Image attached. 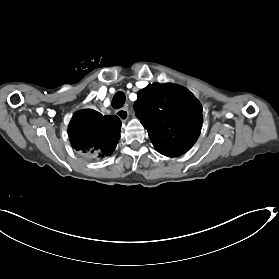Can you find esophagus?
<instances>
[{"label":"esophagus","instance_id":"obj_1","mask_svg":"<svg viewBox=\"0 0 279 279\" xmlns=\"http://www.w3.org/2000/svg\"><path fill=\"white\" fill-rule=\"evenodd\" d=\"M116 116L120 118L122 122H125L129 117V110L127 107L118 109L115 111Z\"/></svg>","mask_w":279,"mask_h":279}]
</instances>
